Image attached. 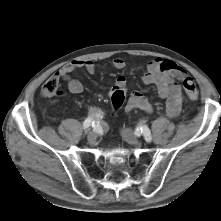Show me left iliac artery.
I'll return each mask as SVG.
<instances>
[{
	"label": "left iliac artery",
	"instance_id": "obj_1",
	"mask_svg": "<svg viewBox=\"0 0 221 221\" xmlns=\"http://www.w3.org/2000/svg\"><path fill=\"white\" fill-rule=\"evenodd\" d=\"M135 134L137 136H140L142 134L147 142H150L152 140L151 132L146 125L137 127L135 130Z\"/></svg>",
	"mask_w": 221,
	"mask_h": 221
}]
</instances>
